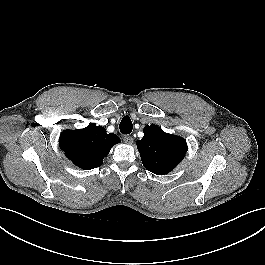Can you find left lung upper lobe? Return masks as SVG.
I'll return each mask as SVG.
<instances>
[{
  "mask_svg": "<svg viewBox=\"0 0 265 265\" xmlns=\"http://www.w3.org/2000/svg\"><path fill=\"white\" fill-rule=\"evenodd\" d=\"M143 131L144 137L137 141V148L144 167L157 175L172 171L185 157L186 141L156 125H147Z\"/></svg>",
  "mask_w": 265,
  "mask_h": 265,
  "instance_id": "obj_1",
  "label": "left lung upper lobe"
}]
</instances>
